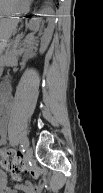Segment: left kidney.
I'll list each match as a JSON object with an SVG mask.
<instances>
[{"mask_svg": "<svg viewBox=\"0 0 103 193\" xmlns=\"http://www.w3.org/2000/svg\"><path fill=\"white\" fill-rule=\"evenodd\" d=\"M52 14H53V10L50 7H45L44 9L40 10L39 13L36 14L38 16H48L49 17L48 18L49 25L45 29L43 36L41 38V47H40L41 54H43L46 51L51 41V38H52V34H53ZM39 21H40L39 18H33L31 21L30 28L36 29Z\"/></svg>", "mask_w": 103, "mask_h": 193, "instance_id": "left-kidney-1", "label": "left kidney"}]
</instances>
